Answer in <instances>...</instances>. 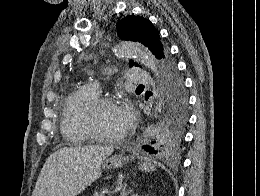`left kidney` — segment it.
<instances>
[{
    "label": "left kidney",
    "instance_id": "obj_1",
    "mask_svg": "<svg viewBox=\"0 0 260 196\" xmlns=\"http://www.w3.org/2000/svg\"><path fill=\"white\" fill-rule=\"evenodd\" d=\"M133 196H137V194H133Z\"/></svg>",
    "mask_w": 260,
    "mask_h": 196
}]
</instances>
